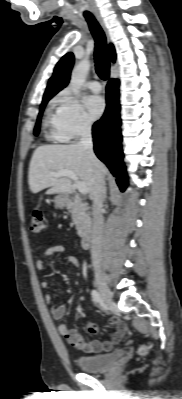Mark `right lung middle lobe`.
<instances>
[{"label":"right lung middle lobe","mask_w":182,"mask_h":399,"mask_svg":"<svg viewBox=\"0 0 182 399\" xmlns=\"http://www.w3.org/2000/svg\"><path fill=\"white\" fill-rule=\"evenodd\" d=\"M51 98H46L43 99L42 104L40 105V111H39V115L37 117V122H36V126L34 129V135H38L39 134V130H40V121H41V117H42V113L44 110V107L46 106L47 102L50 100Z\"/></svg>","instance_id":"right-lung-middle-lobe-1"}]
</instances>
